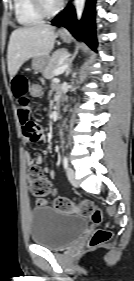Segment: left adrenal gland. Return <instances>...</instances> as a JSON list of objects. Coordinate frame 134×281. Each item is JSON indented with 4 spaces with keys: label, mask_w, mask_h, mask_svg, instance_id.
<instances>
[{
    "label": "left adrenal gland",
    "mask_w": 134,
    "mask_h": 281,
    "mask_svg": "<svg viewBox=\"0 0 134 281\" xmlns=\"http://www.w3.org/2000/svg\"><path fill=\"white\" fill-rule=\"evenodd\" d=\"M71 68H72V66L68 68V70H67V75H69V74H70V72H71Z\"/></svg>",
    "instance_id": "1"
}]
</instances>
